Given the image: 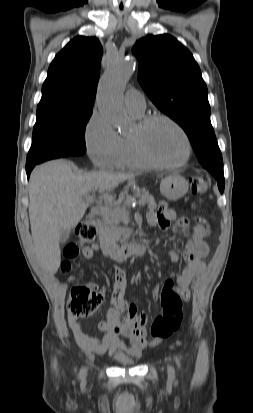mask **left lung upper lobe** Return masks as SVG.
<instances>
[{"label": "left lung upper lobe", "mask_w": 253, "mask_h": 413, "mask_svg": "<svg viewBox=\"0 0 253 413\" xmlns=\"http://www.w3.org/2000/svg\"><path fill=\"white\" fill-rule=\"evenodd\" d=\"M133 54L140 85L163 113L186 132L207 170L223 171V160L210 122L208 90L190 51L168 34L138 40Z\"/></svg>", "instance_id": "1"}]
</instances>
